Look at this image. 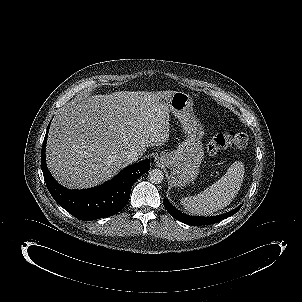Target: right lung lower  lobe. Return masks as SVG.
<instances>
[{
  "instance_id": "98d812e1",
  "label": "right lung lower lobe",
  "mask_w": 302,
  "mask_h": 302,
  "mask_svg": "<svg viewBox=\"0 0 302 302\" xmlns=\"http://www.w3.org/2000/svg\"><path fill=\"white\" fill-rule=\"evenodd\" d=\"M47 128V132L49 130ZM47 132L43 141L41 166L47 188L55 201L74 217L91 221L118 213L128 202L135 181L150 169L149 160L128 166L108 182L87 190H70L58 184L45 160Z\"/></svg>"
}]
</instances>
